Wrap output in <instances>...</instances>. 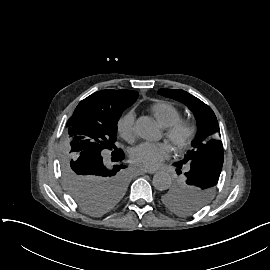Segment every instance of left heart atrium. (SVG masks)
<instances>
[{"label":"left heart atrium","mask_w":270,"mask_h":270,"mask_svg":"<svg viewBox=\"0 0 270 270\" xmlns=\"http://www.w3.org/2000/svg\"><path fill=\"white\" fill-rule=\"evenodd\" d=\"M169 147L163 144H142L132 152V159L141 168L155 169L167 157Z\"/></svg>","instance_id":"39dd6f15"}]
</instances>
